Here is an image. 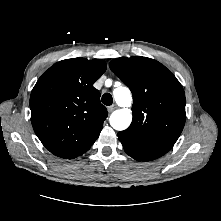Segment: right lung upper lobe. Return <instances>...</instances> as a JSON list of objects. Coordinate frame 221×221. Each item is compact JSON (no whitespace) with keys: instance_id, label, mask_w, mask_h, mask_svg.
<instances>
[{"instance_id":"1","label":"right lung upper lobe","mask_w":221,"mask_h":221,"mask_svg":"<svg viewBox=\"0 0 221 221\" xmlns=\"http://www.w3.org/2000/svg\"><path fill=\"white\" fill-rule=\"evenodd\" d=\"M101 59H66L50 67L30 96L33 129L52 154L72 159L98 138L107 117L100 92L93 87L105 72Z\"/></svg>"}]
</instances>
